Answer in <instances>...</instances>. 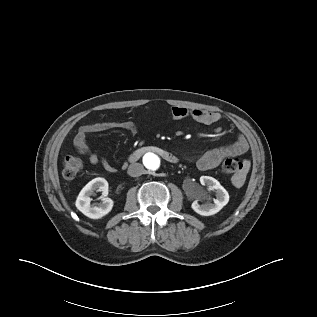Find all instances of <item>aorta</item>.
<instances>
[{"label": "aorta", "instance_id": "762f6f07", "mask_svg": "<svg viewBox=\"0 0 317 317\" xmlns=\"http://www.w3.org/2000/svg\"><path fill=\"white\" fill-rule=\"evenodd\" d=\"M143 163L147 169L156 170L160 165V160L155 154L148 153L143 157Z\"/></svg>", "mask_w": 317, "mask_h": 317}]
</instances>
